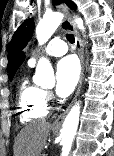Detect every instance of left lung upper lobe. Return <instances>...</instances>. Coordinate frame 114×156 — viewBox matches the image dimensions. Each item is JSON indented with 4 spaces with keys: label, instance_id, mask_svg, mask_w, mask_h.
<instances>
[{
    "label": "left lung upper lobe",
    "instance_id": "5c2ea615",
    "mask_svg": "<svg viewBox=\"0 0 114 156\" xmlns=\"http://www.w3.org/2000/svg\"><path fill=\"white\" fill-rule=\"evenodd\" d=\"M56 4H60L61 0H54ZM64 2L68 5L69 8L75 9L76 5L70 0H64ZM34 21L32 19H27L24 21L17 31L14 33L12 40L9 45L8 50V66L7 70H9L15 56L17 53L22 50L31 39L33 34Z\"/></svg>",
    "mask_w": 114,
    "mask_h": 156
}]
</instances>
